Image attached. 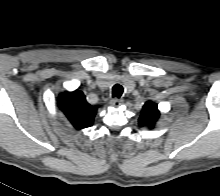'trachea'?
I'll list each match as a JSON object with an SVG mask.
<instances>
[{
    "mask_svg": "<svg viewBox=\"0 0 220 196\" xmlns=\"http://www.w3.org/2000/svg\"><path fill=\"white\" fill-rule=\"evenodd\" d=\"M123 94V87L120 84H116L113 86L112 95L119 99Z\"/></svg>",
    "mask_w": 220,
    "mask_h": 196,
    "instance_id": "trachea-1",
    "label": "trachea"
}]
</instances>
